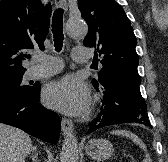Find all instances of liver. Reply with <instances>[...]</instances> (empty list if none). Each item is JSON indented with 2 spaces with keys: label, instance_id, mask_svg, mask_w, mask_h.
Returning <instances> with one entry per match:
<instances>
[{
  "label": "liver",
  "instance_id": "liver-1",
  "mask_svg": "<svg viewBox=\"0 0 168 162\" xmlns=\"http://www.w3.org/2000/svg\"><path fill=\"white\" fill-rule=\"evenodd\" d=\"M32 150L28 134L0 123V162H25Z\"/></svg>",
  "mask_w": 168,
  "mask_h": 162
}]
</instances>
